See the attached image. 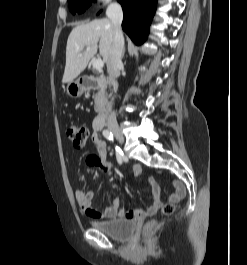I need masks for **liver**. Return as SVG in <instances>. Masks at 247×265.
<instances>
[{
  "label": "liver",
  "instance_id": "1",
  "mask_svg": "<svg viewBox=\"0 0 247 265\" xmlns=\"http://www.w3.org/2000/svg\"><path fill=\"white\" fill-rule=\"evenodd\" d=\"M113 33V24L109 19H97L73 28L67 40L62 83H69L77 78L97 53L98 47L103 61L107 62ZM87 47H90V50H85Z\"/></svg>",
  "mask_w": 247,
  "mask_h": 265
}]
</instances>
